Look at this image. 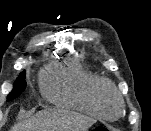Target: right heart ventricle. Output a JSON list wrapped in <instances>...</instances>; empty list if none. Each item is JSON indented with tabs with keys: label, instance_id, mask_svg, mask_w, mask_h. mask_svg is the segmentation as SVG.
Here are the masks:
<instances>
[{
	"label": "right heart ventricle",
	"instance_id": "1",
	"mask_svg": "<svg viewBox=\"0 0 151 131\" xmlns=\"http://www.w3.org/2000/svg\"><path fill=\"white\" fill-rule=\"evenodd\" d=\"M106 81L79 61L50 65L41 75V92L50 102L101 118L96 97Z\"/></svg>",
	"mask_w": 151,
	"mask_h": 131
}]
</instances>
